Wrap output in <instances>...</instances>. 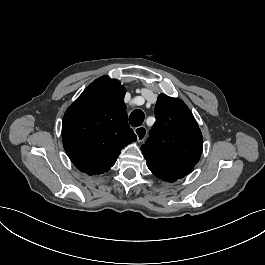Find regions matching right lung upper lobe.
Here are the masks:
<instances>
[{
  "mask_svg": "<svg viewBox=\"0 0 265 265\" xmlns=\"http://www.w3.org/2000/svg\"><path fill=\"white\" fill-rule=\"evenodd\" d=\"M125 92L118 80L102 76L66 110L63 146L80 171L89 175L108 171L121 150L136 141L127 122Z\"/></svg>",
  "mask_w": 265,
  "mask_h": 265,
  "instance_id": "obj_1",
  "label": "right lung upper lobe"
}]
</instances>
